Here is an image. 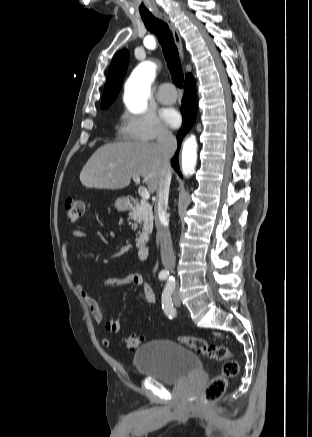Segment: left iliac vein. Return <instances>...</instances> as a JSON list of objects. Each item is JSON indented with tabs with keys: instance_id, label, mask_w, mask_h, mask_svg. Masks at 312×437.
<instances>
[{
	"instance_id": "left-iliac-vein-1",
	"label": "left iliac vein",
	"mask_w": 312,
	"mask_h": 437,
	"mask_svg": "<svg viewBox=\"0 0 312 437\" xmlns=\"http://www.w3.org/2000/svg\"><path fill=\"white\" fill-rule=\"evenodd\" d=\"M173 303L176 305V306H180V304H181V302H180V299H179V293H178V291L177 290H175L174 292H173Z\"/></svg>"
}]
</instances>
